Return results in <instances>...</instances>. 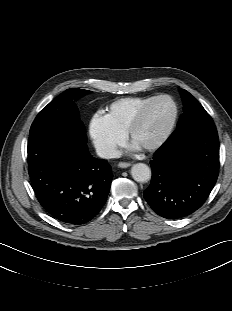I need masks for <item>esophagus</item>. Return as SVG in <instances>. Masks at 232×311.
<instances>
[{"instance_id":"1","label":"esophagus","mask_w":232,"mask_h":311,"mask_svg":"<svg viewBox=\"0 0 232 311\" xmlns=\"http://www.w3.org/2000/svg\"><path fill=\"white\" fill-rule=\"evenodd\" d=\"M131 166V163H128V162H120L118 163V167L119 168H127V167H130Z\"/></svg>"}]
</instances>
